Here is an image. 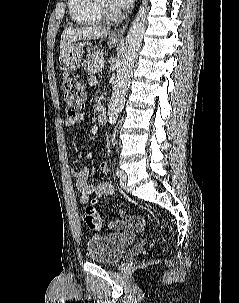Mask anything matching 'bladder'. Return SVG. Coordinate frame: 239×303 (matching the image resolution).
I'll return each mask as SVG.
<instances>
[{"mask_svg": "<svg viewBox=\"0 0 239 303\" xmlns=\"http://www.w3.org/2000/svg\"><path fill=\"white\" fill-rule=\"evenodd\" d=\"M135 239L136 234L130 232L92 235L86 243L87 256L96 263L116 264Z\"/></svg>", "mask_w": 239, "mask_h": 303, "instance_id": "bladder-1", "label": "bladder"}]
</instances>
